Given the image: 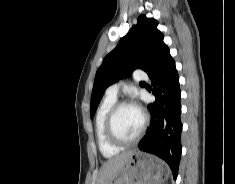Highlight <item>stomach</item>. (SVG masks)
Returning <instances> with one entry per match:
<instances>
[{
  "label": "stomach",
  "mask_w": 235,
  "mask_h": 184,
  "mask_svg": "<svg viewBox=\"0 0 235 184\" xmlns=\"http://www.w3.org/2000/svg\"><path fill=\"white\" fill-rule=\"evenodd\" d=\"M168 176L166 164H158L152 156H146L143 152H133L109 184H162Z\"/></svg>",
  "instance_id": "1"
}]
</instances>
